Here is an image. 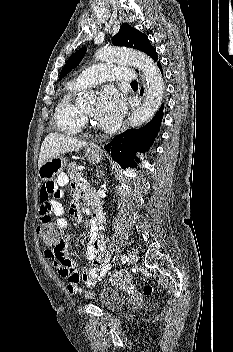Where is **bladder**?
<instances>
[{
    "label": "bladder",
    "instance_id": "1",
    "mask_svg": "<svg viewBox=\"0 0 233 352\" xmlns=\"http://www.w3.org/2000/svg\"><path fill=\"white\" fill-rule=\"evenodd\" d=\"M124 303V296L112 288H104L99 294V305L105 310H117L121 308Z\"/></svg>",
    "mask_w": 233,
    "mask_h": 352
}]
</instances>
